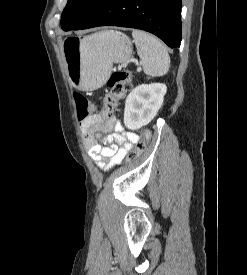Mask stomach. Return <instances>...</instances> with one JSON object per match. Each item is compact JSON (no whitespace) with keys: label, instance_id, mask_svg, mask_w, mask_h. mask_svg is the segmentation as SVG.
Instances as JSON below:
<instances>
[{"label":"stomach","instance_id":"0dacf381","mask_svg":"<svg viewBox=\"0 0 247 275\" xmlns=\"http://www.w3.org/2000/svg\"><path fill=\"white\" fill-rule=\"evenodd\" d=\"M101 38L94 36L63 41V55L69 83L83 90H95L107 81L114 63L127 61L132 54L129 37L118 31H104ZM98 35V34H97Z\"/></svg>","mask_w":247,"mask_h":275}]
</instances>
